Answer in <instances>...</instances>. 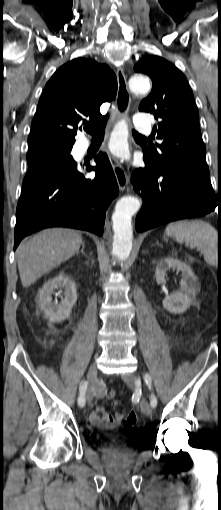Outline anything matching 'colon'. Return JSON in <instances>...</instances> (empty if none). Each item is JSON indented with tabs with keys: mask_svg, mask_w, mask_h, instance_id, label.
Returning <instances> with one entry per match:
<instances>
[{
	"mask_svg": "<svg viewBox=\"0 0 221 510\" xmlns=\"http://www.w3.org/2000/svg\"><path fill=\"white\" fill-rule=\"evenodd\" d=\"M115 395H116V392L114 390H111L109 393H108V398L111 399V400H114L115 398ZM115 404H118L117 401H115ZM137 423V414L135 411H130L125 420H124V425L126 427H132L134 426L135 424Z\"/></svg>",
	"mask_w": 221,
	"mask_h": 510,
	"instance_id": "obj_1",
	"label": "colon"
}]
</instances>
